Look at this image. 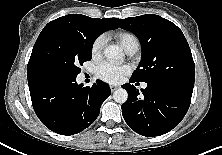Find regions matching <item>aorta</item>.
I'll list each match as a JSON object with an SVG mask.
<instances>
[{"label": "aorta", "instance_id": "1", "mask_svg": "<svg viewBox=\"0 0 222 155\" xmlns=\"http://www.w3.org/2000/svg\"><path fill=\"white\" fill-rule=\"evenodd\" d=\"M104 56L111 61L114 60H122L123 59V53L119 46L117 45H110L104 49ZM113 99L117 103H125L128 99V93L125 89L119 88L114 91L113 93Z\"/></svg>", "mask_w": 222, "mask_h": 155}]
</instances>
